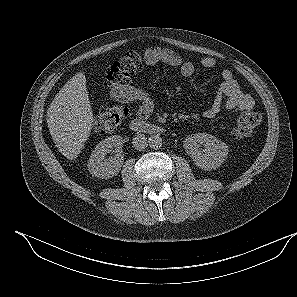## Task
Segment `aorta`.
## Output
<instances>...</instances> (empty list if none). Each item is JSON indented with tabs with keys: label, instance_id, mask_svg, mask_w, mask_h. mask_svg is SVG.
I'll return each mask as SVG.
<instances>
[{
	"label": "aorta",
	"instance_id": "1",
	"mask_svg": "<svg viewBox=\"0 0 297 297\" xmlns=\"http://www.w3.org/2000/svg\"><path fill=\"white\" fill-rule=\"evenodd\" d=\"M149 146L153 149H159L162 146V138L159 135H152L148 139Z\"/></svg>",
	"mask_w": 297,
	"mask_h": 297
}]
</instances>
